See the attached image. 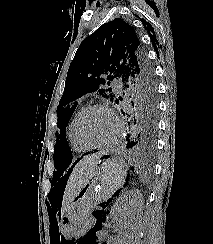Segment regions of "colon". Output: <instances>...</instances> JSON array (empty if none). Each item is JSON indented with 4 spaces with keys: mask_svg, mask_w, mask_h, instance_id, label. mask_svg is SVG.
Listing matches in <instances>:
<instances>
[{
    "mask_svg": "<svg viewBox=\"0 0 213 244\" xmlns=\"http://www.w3.org/2000/svg\"><path fill=\"white\" fill-rule=\"evenodd\" d=\"M97 244H106L105 242H98Z\"/></svg>",
    "mask_w": 213,
    "mask_h": 244,
    "instance_id": "colon-1",
    "label": "colon"
}]
</instances>
